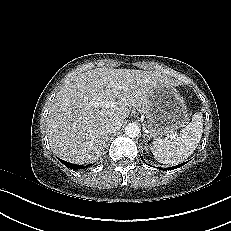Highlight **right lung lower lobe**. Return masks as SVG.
Here are the masks:
<instances>
[{
    "instance_id": "right-lung-lower-lobe-1",
    "label": "right lung lower lobe",
    "mask_w": 231,
    "mask_h": 231,
    "mask_svg": "<svg viewBox=\"0 0 231 231\" xmlns=\"http://www.w3.org/2000/svg\"><path fill=\"white\" fill-rule=\"evenodd\" d=\"M59 160H60L65 166H67L68 168L73 169V170H76V169H79V168H84V166H82V165L72 164V163L63 161V160H61V159H59Z\"/></svg>"
}]
</instances>
